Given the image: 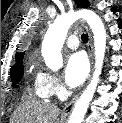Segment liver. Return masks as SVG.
I'll use <instances>...</instances> for the list:
<instances>
[{
  "label": "liver",
  "instance_id": "1",
  "mask_svg": "<svg viewBox=\"0 0 122 123\" xmlns=\"http://www.w3.org/2000/svg\"><path fill=\"white\" fill-rule=\"evenodd\" d=\"M10 123H60L59 108L54 104L28 100L14 111Z\"/></svg>",
  "mask_w": 122,
  "mask_h": 123
}]
</instances>
